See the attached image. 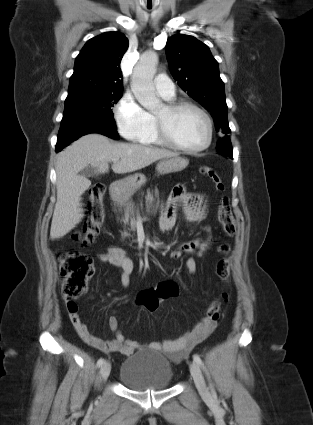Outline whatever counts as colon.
Listing matches in <instances>:
<instances>
[{"label":"colon","instance_id":"obj_1","mask_svg":"<svg viewBox=\"0 0 313 425\" xmlns=\"http://www.w3.org/2000/svg\"><path fill=\"white\" fill-rule=\"evenodd\" d=\"M200 172L212 180L217 191H224L225 185L219 177L218 173L211 167L203 166ZM106 187L103 183H95L90 191V212L85 225L76 239L82 245L90 244L99 234L102 227L105 211L103 207V196ZM217 218L221 225L222 231L226 237L234 236L236 232L235 221L233 219L229 198L222 196L217 202ZM217 250L223 255L216 263V276L222 283H228L230 274V262L228 254L230 246L228 243H221ZM207 247L199 251V255L206 254ZM60 274L63 278L62 292L66 300L73 301L83 295L87 289L88 280L94 273L92 258L81 252L68 250L63 251L59 255ZM179 293L178 285L173 280H167L160 283L156 287L145 289L137 295V303L149 312H154L160 302L165 299L177 296ZM222 298L226 301L228 294L224 292ZM220 301L214 300L207 311V319L216 323L219 319Z\"/></svg>","mask_w":313,"mask_h":425}]
</instances>
